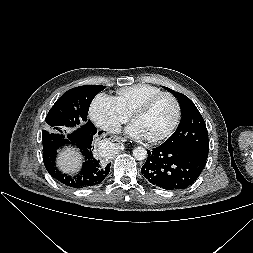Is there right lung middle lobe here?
Masks as SVG:
<instances>
[{"instance_id": "right-lung-middle-lobe-1", "label": "right lung middle lobe", "mask_w": 253, "mask_h": 253, "mask_svg": "<svg viewBox=\"0 0 253 253\" xmlns=\"http://www.w3.org/2000/svg\"><path fill=\"white\" fill-rule=\"evenodd\" d=\"M105 89L101 85L79 86L65 92L48 112L43 142H58L71 139L78 129L89 128L92 123L87 119L89 106L94 97Z\"/></svg>"}]
</instances>
